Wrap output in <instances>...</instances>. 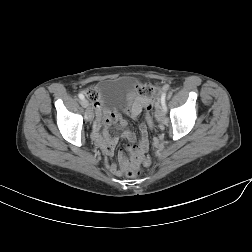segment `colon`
I'll return each instance as SVG.
<instances>
[{
    "instance_id": "5ec220e1",
    "label": "colon",
    "mask_w": 252,
    "mask_h": 252,
    "mask_svg": "<svg viewBox=\"0 0 252 252\" xmlns=\"http://www.w3.org/2000/svg\"><path fill=\"white\" fill-rule=\"evenodd\" d=\"M137 90L140 94H145V95L151 94L153 92V88L151 86L143 85V84H138ZM84 94L92 103H97L99 100V94L94 87L86 88L84 90ZM152 105L153 104H150L146 108V112L144 114L145 123L147 125L152 124V114H151ZM125 174L128 178H135L141 174V168L139 166L130 167L126 170Z\"/></svg>"
}]
</instances>
